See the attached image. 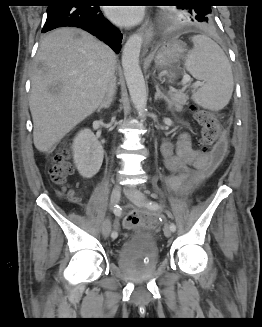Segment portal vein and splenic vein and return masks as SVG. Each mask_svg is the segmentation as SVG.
Wrapping results in <instances>:
<instances>
[{
  "instance_id": "18ae733b",
  "label": "portal vein and splenic vein",
  "mask_w": 262,
  "mask_h": 327,
  "mask_svg": "<svg viewBox=\"0 0 262 327\" xmlns=\"http://www.w3.org/2000/svg\"><path fill=\"white\" fill-rule=\"evenodd\" d=\"M190 76H188V75H184L183 76V79H182V84H187L189 81H190ZM202 85V83L201 82H196V83H194V87H199V86H201Z\"/></svg>"
}]
</instances>
